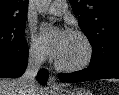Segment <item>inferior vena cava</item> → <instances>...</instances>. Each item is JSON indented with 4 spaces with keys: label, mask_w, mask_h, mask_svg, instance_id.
Here are the masks:
<instances>
[{
    "label": "inferior vena cava",
    "mask_w": 119,
    "mask_h": 95,
    "mask_svg": "<svg viewBox=\"0 0 119 95\" xmlns=\"http://www.w3.org/2000/svg\"><path fill=\"white\" fill-rule=\"evenodd\" d=\"M45 60V56L39 52H30L28 57L27 68L23 76L19 79L21 94L23 95H35L36 90V76L42 63Z\"/></svg>",
    "instance_id": "602c4592"
}]
</instances>
